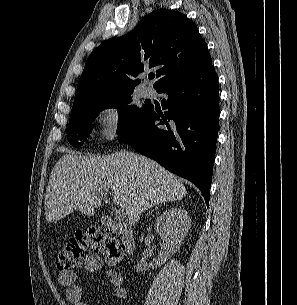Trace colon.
<instances>
[{
  "label": "colon",
  "mask_w": 297,
  "mask_h": 305,
  "mask_svg": "<svg viewBox=\"0 0 297 305\" xmlns=\"http://www.w3.org/2000/svg\"><path fill=\"white\" fill-rule=\"evenodd\" d=\"M91 251L104 254L109 265L117 266L123 259V246L120 240L103 229L89 228L77 232L57 250V267L69 271L79 267L89 257Z\"/></svg>",
  "instance_id": "obj_1"
}]
</instances>
